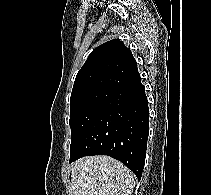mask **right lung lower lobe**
Wrapping results in <instances>:
<instances>
[{
	"label": "right lung lower lobe",
	"mask_w": 211,
	"mask_h": 195,
	"mask_svg": "<svg viewBox=\"0 0 211 195\" xmlns=\"http://www.w3.org/2000/svg\"><path fill=\"white\" fill-rule=\"evenodd\" d=\"M149 108L141 79L113 91L106 105L70 153L69 163L108 155L131 169L138 180L145 164Z\"/></svg>",
	"instance_id": "1"
}]
</instances>
